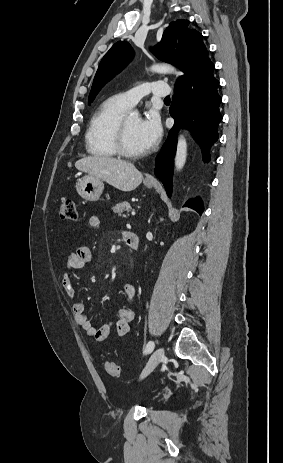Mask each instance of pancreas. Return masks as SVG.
Here are the masks:
<instances>
[{
  "label": "pancreas",
  "instance_id": "obj_1",
  "mask_svg": "<svg viewBox=\"0 0 283 463\" xmlns=\"http://www.w3.org/2000/svg\"><path fill=\"white\" fill-rule=\"evenodd\" d=\"M113 212L118 214V216H123V217H127L126 214H124L125 212L126 213H129L131 210H132V207L131 205L129 204V202H120L118 204H116L113 208H112Z\"/></svg>",
  "mask_w": 283,
  "mask_h": 463
}]
</instances>
